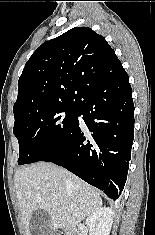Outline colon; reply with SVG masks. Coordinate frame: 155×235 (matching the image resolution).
Returning a JSON list of instances; mask_svg holds the SVG:
<instances>
[{"instance_id": "colon-1", "label": "colon", "mask_w": 155, "mask_h": 235, "mask_svg": "<svg viewBox=\"0 0 155 235\" xmlns=\"http://www.w3.org/2000/svg\"><path fill=\"white\" fill-rule=\"evenodd\" d=\"M50 235H61L60 233H52Z\"/></svg>"}]
</instances>
